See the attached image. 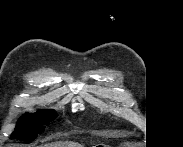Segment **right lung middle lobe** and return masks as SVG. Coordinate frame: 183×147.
Segmentation results:
<instances>
[{
  "label": "right lung middle lobe",
  "instance_id": "right-lung-middle-lobe-1",
  "mask_svg": "<svg viewBox=\"0 0 183 147\" xmlns=\"http://www.w3.org/2000/svg\"><path fill=\"white\" fill-rule=\"evenodd\" d=\"M55 117L53 110H39L35 114H25L17 123L12 136H20L24 141H32L39 132L45 128V124Z\"/></svg>",
  "mask_w": 183,
  "mask_h": 147
}]
</instances>
